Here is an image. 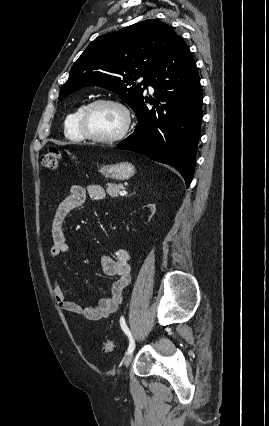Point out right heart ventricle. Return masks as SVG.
Segmentation results:
<instances>
[{
  "label": "right heart ventricle",
  "instance_id": "right-heart-ventricle-1",
  "mask_svg": "<svg viewBox=\"0 0 269 426\" xmlns=\"http://www.w3.org/2000/svg\"><path fill=\"white\" fill-rule=\"evenodd\" d=\"M84 106L85 104L78 105L65 119V134L69 139L75 141H82L85 139L79 126V118Z\"/></svg>",
  "mask_w": 269,
  "mask_h": 426
}]
</instances>
